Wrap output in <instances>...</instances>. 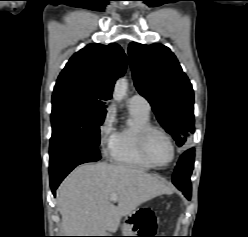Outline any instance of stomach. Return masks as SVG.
<instances>
[{"mask_svg": "<svg viewBox=\"0 0 248 237\" xmlns=\"http://www.w3.org/2000/svg\"><path fill=\"white\" fill-rule=\"evenodd\" d=\"M129 228H130L129 231L127 232L128 235H124V236H135V235H133V234H135V231H132V226H130Z\"/></svg>", "mask_w": 248, "mask_h": 237, "instance_id": "obj_1", "label": "stomach"}]
</instances>
